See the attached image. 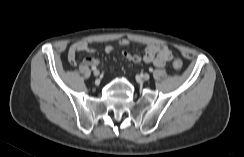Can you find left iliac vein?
Returning a JSON list of instances; mask_svg holds the SVG:
<instances>
[{"label": "left iliac vein", "mask_w": 244, "mask_h": 157, "mask_svg": "<svg viewBox=\"0 0 244 157\" xmlns=\"http://www.w3.org/2000/svg\"><path fill=\"white\" fill-rule=\"evenodd\" d=\"M141 77H142V80H144V81H147V80H149V78H150L149 74H147V73L142 74Z\"/></svg>", "instance_id": "obj_1"}]
</instances>
